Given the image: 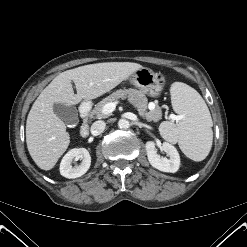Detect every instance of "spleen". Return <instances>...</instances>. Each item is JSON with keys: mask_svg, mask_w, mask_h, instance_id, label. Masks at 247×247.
I'll use <instances>...</instances> for the list:
<instances>
[{"mask_svg": "<svg viewBox=\"0 0 247 247\" xmlns=\"http://www.w3.org/2000/svg\"><path fill=\"white\" fill-rule=\"evenodd\" d=\"M170 93L172 107L180 120L177 124L162 122L160 133L166 140L178 142L188 158L202 161L208 156L213 142L210 111L201 95L185 83H173Z\"/></svg>", "mask_w": 247, "mask_h": 247, "instance_id": "obj_1", "label": "spleen"}]
</instances>
